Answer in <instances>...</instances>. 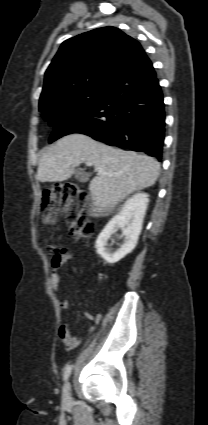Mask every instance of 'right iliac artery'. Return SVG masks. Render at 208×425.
<instances>
[{
	"label": "right iliac artery",
	"instance_id": "right-iliac-artery-1",
	"mask_svg": "<svg viewBox=\"0 0 208 425\" xmlns=\"http://www.w3.org/2000/svg\"><path fill=\"white\" fill-rule=\"evenodd\" d=\"M71 371H72V365H68L66 367L65 372H64V375H63L64 381H66L69 378V376L71 374Z\"/></svg>",
	"mask_w": 208,
	"mask_h": 425
}]
</instances>
